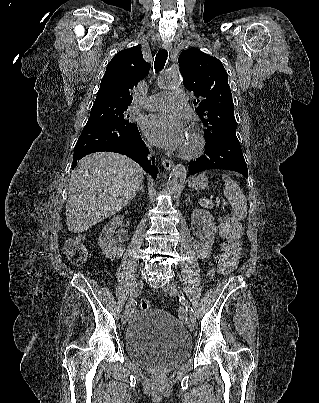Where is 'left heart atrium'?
I'll return each instance as SVG.
<instances>
[{"instance_id": "1", "label": "left heart atrium", "mask_w": 319, "mask_h": 403, "mask_svg": "<svg viewBox=\"0 0 319 403\" xmlns=\"http://www.w3.org/2000/svg\"><path fill=\"white\" fill-rule=\"evenodd\" d=\"M145 135L157 146L167 149L183 148L187 131L182 119L174 113H158L143 121Z\"/></svg>"}]
</instances>
